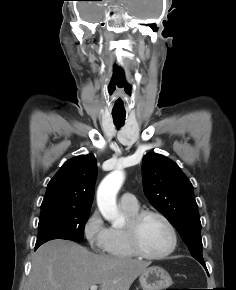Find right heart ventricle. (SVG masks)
<instances>
[{
	"label": "right heart ventricle",
	"instance_id": "e07e8e85",
	"mask_svg": "<svg viewBox=\"0 0 236 290\" xmlns=\"http://www.w3.org/2000/svg\"><path fill=\"white\" fill-rule=\"evenodd\" d=\"M121 209L129 217L138 212V207L132 209L121 206ZM105 251L109 256L117 258H132L135 256V254L133 253V251L129 246L125 233V228L118 227L109 228V240L106 245Z\"/></svg>",
	"mask_w": 236,
	"mask_h": 290
}]
</instances>
